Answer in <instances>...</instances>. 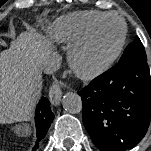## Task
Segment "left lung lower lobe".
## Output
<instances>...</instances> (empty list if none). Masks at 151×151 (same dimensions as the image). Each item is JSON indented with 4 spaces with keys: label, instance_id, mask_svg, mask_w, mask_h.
<instances>
[{
    "label": "left lung lower lobe",
    "instance_id": "obj_1",
    "mask_svg": "<svg viewBox=\"0 0 151 151\" xmlns=\"http://www.w3.org/2000/svg\"><path fill=\"white\" fill-rule=\"evenodd\" d=\"M83 123L100 151H125L147 132L151 77L147 60L117 64L78 91Z\"/></svg>",
    "mask_w": 151,
    "mask_h": 151
}]
</instances>
